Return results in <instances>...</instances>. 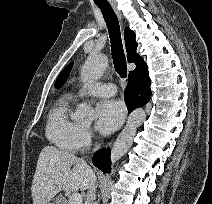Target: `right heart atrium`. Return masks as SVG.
<instances>
[{"label":"right heart atrium","mask_w":212,"mask_h":204,"mask_svg":"<svg viewBox=\"0 0 212 204\" xmlns=\"http://www.w3.org/2000/svg\"><path fill=\"white\" fill-rule=\"evenodd\" d=\"M93 132L89 128H82L78 137V149H84L91 145L93 141Z\"/></svg>","instance_id":"1"}]
</instances>
